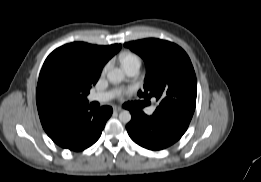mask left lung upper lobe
<instances>
[{
  "instance_id": "obj_1",
  "label": "left lung upper lobe",
  "mask_w": 261,
  "mask_h": 182,
  "mask_svg": "<svg viewBox=\"0 0 261 182\" xmlns=\"http://www.w3.org/2000/svg\"><path fill=\"white\" fill-rule=\"evenodd\" d=\"M146 63L144 90L139 97L159 102L153 115L190 122L196 106L197 81L192 63L178 45L155 38L124 44Z\"/></svg>"
}]
</instances>
